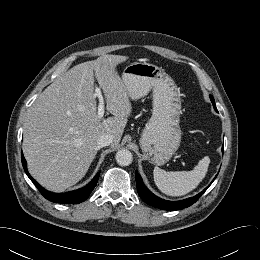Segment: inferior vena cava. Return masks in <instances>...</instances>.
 <instances>
[{"label":"inferior vena cava","mask_w":260,"mask_h":260,"mask_svg":"<svg viewBox=\"0 0 260 260\" xmlns=\"http://www.w3.org/2000/svg\"><path fill=\"white\" fill-rule=\"evenodd\" d=\"M113 142V135L103 134L97 139V146L99 148L109 146Z\"/></svg>","instance_id":"obj_1"}]
</instances>
